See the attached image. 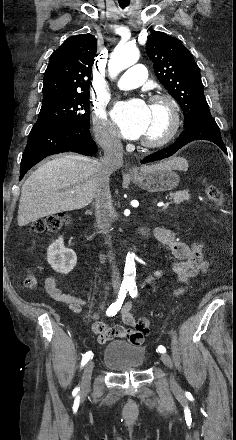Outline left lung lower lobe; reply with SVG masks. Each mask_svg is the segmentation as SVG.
Instances as JSON below:
<instances>
[{"label": "left lung lower lobe", "mask_w": 236, "mask_h": 440, "mask_svg": "<svg viewBox=\"0 0 236 440\" xmlns=\"http://www.w3.org/2000/svg\"><path fill=\"white\" fill-rule=\"evenodd\" d=\"M195 140L211 141L218 145L224 151V153L227 154V149L221 139L219 127L209 113L200 116L188 127H186L173 145L147 156L141 161V163L144 164L167 158L177 152L184 145Z\"/></svg>", "instance_id": "obj_1"}]
</instances>
